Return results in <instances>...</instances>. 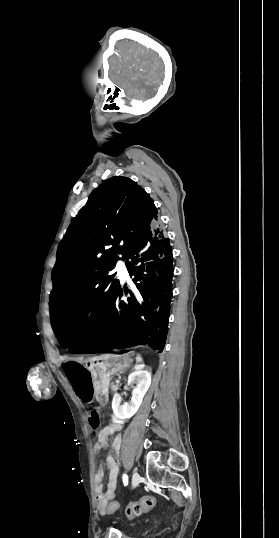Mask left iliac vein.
Returning a JSON list of instances; mask_svg holds the SVG:
<instances>
[{
  "label": "left iliac vein",
  "mask_w": 279,
  "mask_h": 538,
  "mask_svg": "<svg viewBox=\"0 0 279 538\" xmlns=\"http://www.w3.org/2000/svg\"><path fill=\"white\" fill-rule=\"evenodd\" d=\"M140 481H141V477L139 473L135 471L132 475V488H135L136 486H138Z\"/></svg>",
  "instance_id": "obj_1"
}]
</instances>
